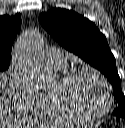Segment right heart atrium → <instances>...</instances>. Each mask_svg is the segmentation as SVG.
<instances>
[{
	"mask_svg": "<svg viewBox=\"0 0 125 128\" xmlns=\"http://www.w3.org/2000/svg\"><path fill=\"white\" fill-rule=\"evenodd\" d=\"M8 81L12 105L23 112L30 111L39 91L24 73L15 69L9 72Z\"/></svg>",
	"mask_w": 125,
	"mask_h": 128,
	"instance_id": "right-heart-atrium-1",
	"label": "right heart atrium"
}]
</instances>
